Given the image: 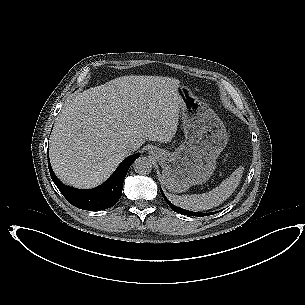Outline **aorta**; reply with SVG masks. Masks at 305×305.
Returning a JSON list of instances; mask_svg holds the SVG:
<instances>
[{
    "mask_svg": "<svg viewBox=\"0 0 305 305\" xmlns=\"http://www.w3.org/2000/svg\"><path fill=\"white\" fill-rule=\"evenodd\" d=\"M133 169L138 174H149L152 170L151 160L145 156H140L134 161Z\"/></svg>",
    "mask_w": 305,
    "mask_h": 305,
    "instance_id": "762f6f07",
    "label": "aorta"
}]
</instances>
